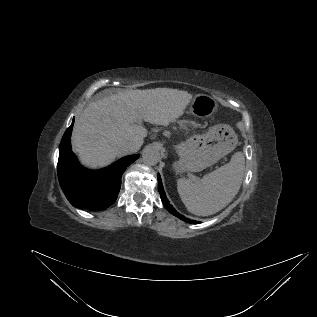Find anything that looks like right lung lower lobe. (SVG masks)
<instances>
[{"mask_svg":"<svg viewBox=\"0 0 317 317\" xmlns=\"http://www.w3.org/2000/svg\"><path fill=\"white\" fill-rule=\"evenodd\" d=\"M73 123L64 133L59 147L57 171L61 188L73 206L104 210L117 199L121 175L139 155L123 157L101 170H87L79 164L71 150Z\"/></svg>","mask_w":317,"mask_h":317,"instance_id":"obj_1","label":"right lung lower lobe"}]
</instances>
